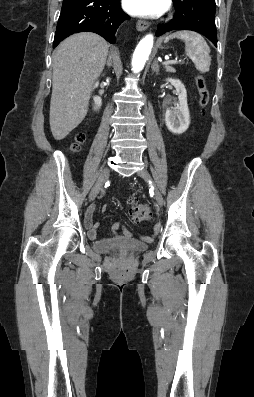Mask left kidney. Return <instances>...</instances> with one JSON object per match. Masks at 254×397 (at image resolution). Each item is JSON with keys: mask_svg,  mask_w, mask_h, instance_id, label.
Returning <instances> with one entry per match:
<instances>
[{"mask_svg": "<svg viewBox=\"0 0 254 397\" xmlns=\"http://www.w3.org/2000/svg\"><path fill=\"white\" fill-rule=\"evenodd\" d=\"M166 81L175 87L179 99V105L175 109L166 110L165 123L168 130L173 134H182L190 125L187 91L183 83L178 79L168 78Z\"/></svg>", "mask_w": 254, "mask_h": 397, "instance_id": "5707ae66", "label": "left kidney"}]
</instances>
